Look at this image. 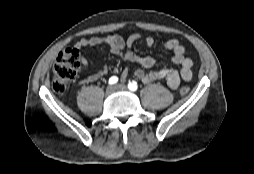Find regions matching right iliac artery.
I'll list each match as a JSON object with an SVG mask.
<instances>
[{
  "label": "right iliac artery",
  "mask_w": 254,
  "mask_h": 174,
  "mask_svg": "<svg viewBox=\"0 0 254 174\" xmlns=\"http://www.w3.org/2000/svg\"><path fill=\"white\" fill-rule=\"evenodd\" d=\"M118 82V78L116 76H113L109 79V84H115Z\"/></svg>",
  "instance_id": "1"
}]
</instances>
